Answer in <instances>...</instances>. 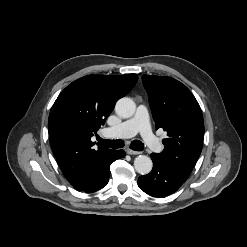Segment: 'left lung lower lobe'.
Segmentation results:
<instances>
[{
  "label": "left lung lower lobe",
  "instance_id": "left-lung-lower-lobe-1",
  "mask_svg": "<svg viewBox=\"0 0 247 247\" xmlns=\"http://www.w3.org/2000/svg\"><path fill=\"white\" fill-rule=\"evenodd\" d=\"M152 171L138 179L139 188L150 196L164 198L175 192L189 177L173 164L151 154Z\"/></svg>",
  "mask_w": 247,
  "mask_h": 247
}]
</instances>
